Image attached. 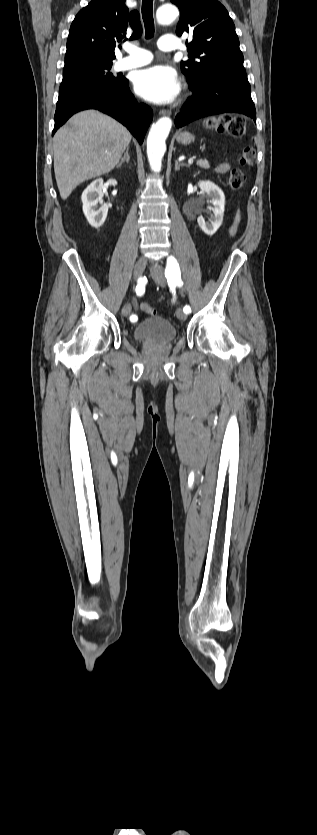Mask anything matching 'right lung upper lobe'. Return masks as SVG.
Instances as JSON below:
<instances>
[{
    "instance_id": "1",
    "label": "right lung upper lobe",
    "mask_w": 317,
    "mask_h": 835,
    "mask_svg": "<svg viewBox=\"0 0 317 835\" xmlns=\"http://www.w3.org/2000/svg\"><path fill=\"white\" fill-rule=\"evenodd\" d=\"M128 25L133 29L131 38L142 34L139 13H129L125 0H92L71 24L65 61L99 58L112 62L116 42L126 37Z\"/></svg>"
}]
</instances>
